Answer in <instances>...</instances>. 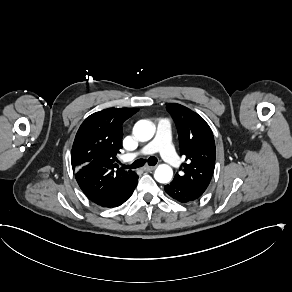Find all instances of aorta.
I'll return each mask as SVG.
<instances>
[{
    "label": "aorta",
    "instance_id": "762f6f07",
    "mask_svg": "<svg viewBox=\"0 0 292 292\" xmlns=\"http://www.w3.org/2000/svg\"><path fill=\"white\" fill-rule=\"evenodd\" d=\"M133 132L140 141H148L153 137L155 130L151 122L140 120L135 124ZM154 177L160 183H168L173 177V169L169 164H159Z\"/></svg>",
    "mask_w": 292,
    "mask_h": 292
}]
</instances>
